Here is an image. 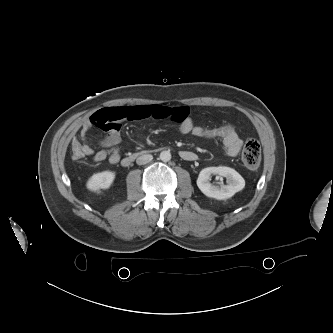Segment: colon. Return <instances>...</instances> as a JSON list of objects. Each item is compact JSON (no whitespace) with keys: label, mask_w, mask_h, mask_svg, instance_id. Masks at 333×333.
<instances>
[{"label":"colon","mask_w":333,"mask_h":333,"mask_svg":"<svg viewBox=\"0 0 333 333\" xmlns=\"http://www.w3.org/2000/svg\"><path fill=\"white\" fill-rule=\"evenodd\" d=\"M230 128L231 126L229 125H221L210 129L204 128L201 135L204 138L220 139L228 132ZM71 156L74 160H79L85 157L82 144L77 139H74L71 142ZM241 157L243 163L249 169L258 168L261 161V146L259 142L254 138L247 139L244 144Z\"/></svg>","instance_id":"obj_1"}]
</instances>
